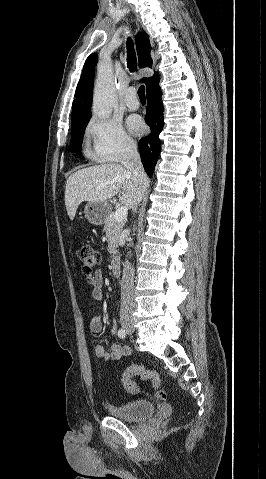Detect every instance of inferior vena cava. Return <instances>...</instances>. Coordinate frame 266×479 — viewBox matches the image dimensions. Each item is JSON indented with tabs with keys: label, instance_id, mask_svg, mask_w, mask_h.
Here are the masks:
<instances>
[{
	"label": "inferior vena cava",
	"instance_id": "602c4592",
	"mask_svg": "<svg viewBox=\"0 0 266 479\" xmlns=\"http://www.w3.org/2000/svg\"><path fill=\"white\" fill-rule=\"evenodd\" d=\"M122 164L129 170L140 188L145 189L147 183V175L143 169L140 155L137 151L135 143H127L122 154ZM144 192L142 191L140 199H142ZM141 201V200H140ZM137 207L133 209L136 212ZM134 268L125 261L122 279H121V306L120 319L126 320L132 317L133 300H134Z\"/></svg>",
	"mask_w": 266,
	"mask_h": 479
}]
</instances>
